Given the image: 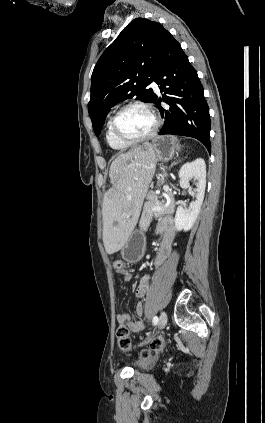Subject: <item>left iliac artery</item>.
I'll return each instance as SVG.
<instances>
[{
  "instance_id": "left-iliac-artery-1",
  "label": "left iliac artery",
  "mask_w": 265,
  "mask_h": 423,
  "mask_svg": "<svg viewBox=\"0 0 265 423\" xmlns=\"http://www.w3.org/2000/svg\"><path fill=\"white\" fill-rule=\"evenodd\" d=\"M158 323V317L154 316L153 317V324L156 325Z\"/></svg>"
}]
</instances>
